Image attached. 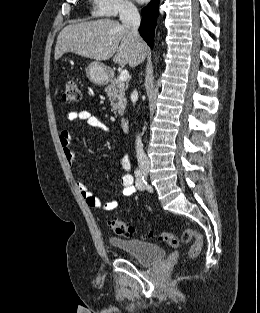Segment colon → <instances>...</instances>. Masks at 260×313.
I'll return each instance as SVG.
<instances>
[{"label": "colon", "mask_w": 260, "mask_h": 313, "mask_svg": "<svg viewBox=\"0 0 260 313\" xmlns=\"http://www.w3.org/2000/svg\"><path fill=\"white\" fill-rule=\"evenodd\" d=\"M62 97L65 103H77L81 100V91L75 80H69L66 82ZM109 224L117 235L132 237L135 234V228L132 225L118 218H111ZM156 238L160 242H164L171 247L179 246L180 242L189 243L193 240L194 243L188 253L191 259L196 258L203 248L202 236L195 229H186L182 233L180 239L175 234L167 231L160 232L156 235Z\"/></svg>", "instance_id": "5ec220e1"}]
</instances>
